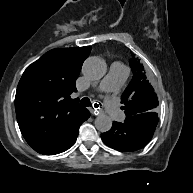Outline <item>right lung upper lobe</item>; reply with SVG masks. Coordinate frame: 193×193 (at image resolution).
<instances>
[{"label": "right lung upper lobe", "instance_id": "obj_1", "mask_svg": "<svg viewBox=\"0 0 193 193\" xmlns=\"http://www.w3.org/2000/svg\"><path fill=\"white\" fill-rule=\"evenodd\" d=\"M90 46L48 51L23 73L16 91L15 109L20 131L34 149L51 146L85 116L87 109L70 99Z\"/></svg>", "mask_w": 193, "mask_h": 193}]
</instances>
